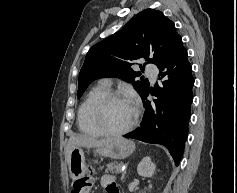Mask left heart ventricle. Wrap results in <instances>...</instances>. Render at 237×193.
I'll use <instances>...</instances> for the list:
<instances>
[{"label": "left heart ventricle", "mask_w": 237, "mask_h": 193, "mask_svg": "<svg viewBox=\"0 0 237 193\" xmlns=\"http://www.w3.org/2000/svg\"><path fill=\"white\" fill-rule=\"evenodd\" d=\"M135 107L127 100H112L105 104L101 112V123L110 130L118 131L133 120Z\"/></svg>", "instance_id": "1"}]
</instances>
